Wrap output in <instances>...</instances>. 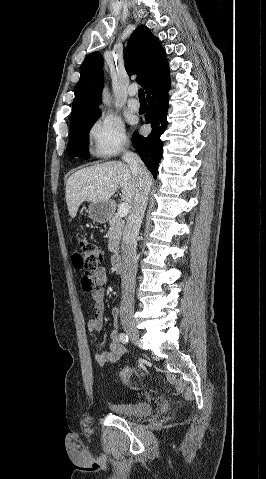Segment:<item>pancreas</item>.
Returning <instances> with one entry per match:
<instances>
[{
	"instance_id": "pancreas-1",
	"label": "pancreas",
	"mask_w": 266,
	"mask_h": 479,
	"mask_svg": "<svg viewBox=\"0 0 266 479\" xmlns=\"http://www.w3.org/2000/svg\"><path fill=\"white\" fill-rule=\"evenodd\" d=\"M123 222L118 215H114L109 220L108 230V250L114 254L118 253L119 244L122 237Z\"/></svg>"
}]
</instances>
